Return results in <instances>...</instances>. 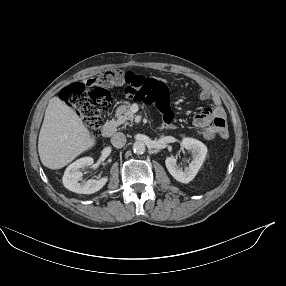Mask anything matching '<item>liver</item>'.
<instances>
[{"label":"liver","mask_w":286,"mask_h":286,"mask_svg":"<svg viewBox=\"0 0 286 286\" xmlns=\"http://www.w3.org/2000/svg\"><path fill=\"white\" fill-rule=\"evenodd\" d=\"M94 145V136L76 112L59 97L51 98L38 139L42 164L50 169L63 168Z\"/></svg>","instance_id":"1"}]
</instances>
